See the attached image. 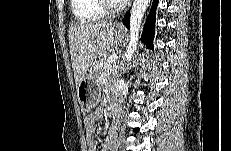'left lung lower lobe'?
<instances>
[{
  "label": "left lung lower lobe",
  "mask_w": 231,
  "mask_h": 151,
  "mask_svg": "<svg viewBox=\"0 0 231 151\" xmlns=\"http://www.w3.org/2000/svg\"><path fill=\"white\" fill-rule=\"evenodd\" d=\"M157 3H158V0L153 1L150 14L148 16L143 34L141 36V40L147 45L148 48H151V49H153L152 42H153L154 32H155L154 25H155V14H156ZM123 23L128 29L130 28V13L129 12L124 16Z\"/></svg>",
  "instance_id": "left-lung-lower-lobe-1"
}]
</instances>
